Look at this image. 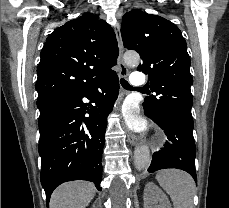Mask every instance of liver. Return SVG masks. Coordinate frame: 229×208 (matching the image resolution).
I'll return each mask as SVG.
<instances>
[{
  "instance_id": "1",
  "label": "liver",
  "mask_w": 229,
  "mask_h": 208,
  "mask_svg": "<svg viewBox=\"0 0 229 208\" xmlns=\"http://www.w3.org/2000/svg\"><path fill=\"white\" fill-rule=\"evenodd\" d=\"M95 194L92 182H66L54 190L49 208H86Z\"/></svg>"
}]
</instances>
